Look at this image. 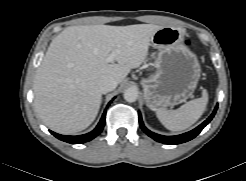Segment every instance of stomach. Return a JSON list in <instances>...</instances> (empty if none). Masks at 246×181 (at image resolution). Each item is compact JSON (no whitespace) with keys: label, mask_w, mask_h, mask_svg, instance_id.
<instances>
[{"label":"stomach","mask_w":246,"mask_h":181,"mask_svg":"<svg viewBox=\"0 0 246 181\" xmlns=\"http://www.w3.org/2000/svg\"><path fill=\"white\" fill-rule=\"evenodd\" d=\"M185 31L165 26L151 38L157 49L156 72L141 80L147 107L157 110L185 102L201 76L196 54L184 45Z\"/></svg>","instance_id":"obj_1"}]
</instances>
